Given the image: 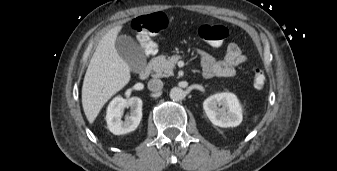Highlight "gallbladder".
Segmentation results:
<instances>
[{"instance_id":"1","label":"gallbladder","mask_w":337,"mask_h":171,"mask_svg":"<svg viewBox=\"0 0 337 171\" xmlns=\"http://www.w3.org/2000/svg\"><path fill=\"white\" fill-rule=\"evenodd\" d=\"M116 49L120 57L133 72L139 73L145 67L146 60L142 49L130 36H120L116 40Z\"/></svg>"}]
</instances>
